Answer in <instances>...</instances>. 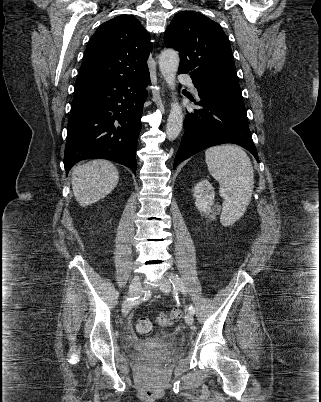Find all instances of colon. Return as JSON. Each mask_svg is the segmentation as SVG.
I'll return each mask as SVG.
<instances>
[{"instance_id":"5ec220e1","label":"colon","mask_w":321,"mask_h":402,"mask_svg":"<svg viewBox=\"0 0 321 402\" xmlns=\"http://www.w3.org/2000/svg\"><path fill=\"white\" fill-rule=\"evenodd\" d=\"M182 316V311L178 308L173 309L168 314H161L159 316V322L162 325L169 326L175 323ZM136 329L141 334H148L152 331V322L146 317H140L136 321Z\"/></svg>"}]
</instances>
